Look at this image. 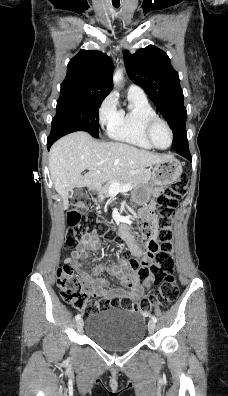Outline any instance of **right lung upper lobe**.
<instances>
[{
    "label": "right lung upper lobe",
    "mask_w": 228,
    "mask_h": 396,
    "mask_svg": "<svg viewBox=\"0 0 228 396\" xmlns=\"http://www.w3.org/2000/svg\"><path fill=\"white\" fill-rule=\"evenodd\" d=\"M113 62L99 51L81 50L67 66L61 88H78L108 95L112 90Z\"/></svg>",
    "instance_id": "right-lung-upper-lobe-1"
}]
</instances>
